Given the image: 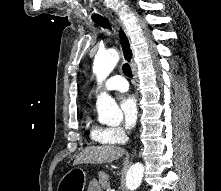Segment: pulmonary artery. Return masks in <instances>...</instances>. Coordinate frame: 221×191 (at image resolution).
Here are the masks:
<instances>
[{
    "mask_svg": "<svg viewBox=\"0 0 221 191\" xmlns=\"http://www.w3.org/2000/svg\"><path fill=\"white\" fill-rule=\"evenodd\" d=\"M129 88L127 80L122 76H114L110 78L103 86L106 91H127Z\"/></svg>",
    "mask_w": 221,
    "mask_h": 191,
    "instance_id": "pulmonary-artery-1",
    "label": "pulmonary artery"
}]
</instances>
